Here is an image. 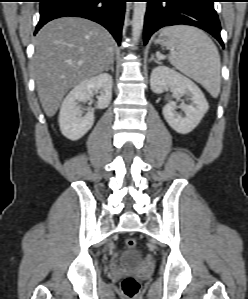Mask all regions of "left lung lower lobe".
Segmentation results:
<instances>
[{"instance_id": "left-lung-lower-lobe-1", "label": "left lung lower lobe", "mask_w": 248, "mask_h": 299, "mask_svg": "<svg viewBox=\"0 0 248 299\" xmlns=\"http://www.w3.org/2000/svg\"><path fill=\"white\" fill-rule=\"evenodd\" d=\"M145 1L148 5L144 22V44L162 27L185 24L207 31L224 47L219 18L213 6L215 0Z\"/></svg>"}]
</instances>
